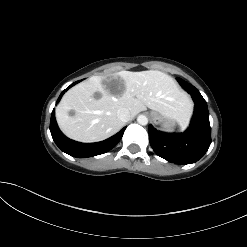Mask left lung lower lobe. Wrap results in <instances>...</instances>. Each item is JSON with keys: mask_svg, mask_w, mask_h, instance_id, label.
I'll list each match as a JSON object with an SVG mask.
<instances>
[{"mask_svg": "<svg viewBox=\"0 0 247 247\" xmlns=\"http://www.w3.org/2000/svg\"><path fill=\"white\" fill-rule=\"evenodd\" d=\"M177 80L195 102L190 127L181 134H168L149 126V141L154 152L165 160L191 164L202 158L211 144L209 113L207 103L199 91L184 80Z\"/></svg>", "mask_w": 247, "mask_h": 247, "instance_id": "left-lung-lower-lobe-1", "label": "left lung lower lobe"}]
</instances>
